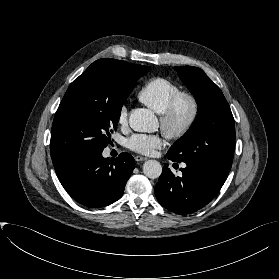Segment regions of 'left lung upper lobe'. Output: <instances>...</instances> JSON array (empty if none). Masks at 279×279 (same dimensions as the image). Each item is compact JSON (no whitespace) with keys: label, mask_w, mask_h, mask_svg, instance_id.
<instances>
[{"label":"left lung upper lobe","mask_w":279,"mask_h":279,"mask_svg":"<svg viewBox=\"0 0 279 279\" xmlns=\"http://www.w3.org/2000/svg\"><path fill=\"white\" fill-rule=\"evenodd\" d=\"M198 104L190 131L175 142L167 157L190 166L206 167L226 177L232 166L235 122L222 91L198 67H175Z\"/></svg>","instance_id":"1"}]
</instances>
